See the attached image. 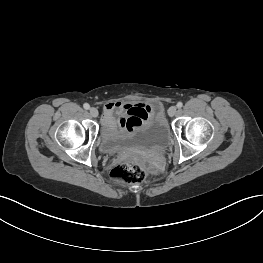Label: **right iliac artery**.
Masks as SVG:
<instances>
[{
    "label": "right iliac artery",
    "mask_w": 263,
    "mask_h": 263,
    "mask_svg": "<svg viewBox=\"0 0 263 263\" xmlns=\"http://www.w3.org/2000/svg\"><path fill=\"white\" fill-rule=\"evenodd\" d=\"M83 107H84V109L88 110V109L90 108V105H89L88 103H85V104L83 105Z\"/></svg>",
    "instance_id": "right-iliac-artery-1"
}]
</instances>
